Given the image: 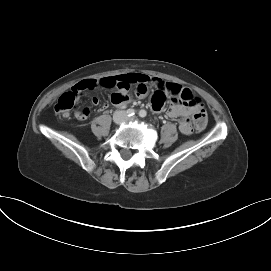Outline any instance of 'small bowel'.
Masks as SVG:
<instances>
[{"instance_id":"small-bowel-1","label":"small bowel","mask_w":271,"mask_h":271,"mask_svg":"<svg viewBox=\"0 0 271 271\" xmlns=\"http://www.w3.org/2000/svg\"><path fill=\"white\" fill-rule=\"evenodd\" d=\"M95 86L111 89V101L118 106H124L131 101V97L128 93L131 86H136L135 95L139 98L146 96L149 87H155L157 91L150 102V107L154 112L162 111L164 104L167 102V95L176 96L171 101L167 115L170 118H182L179 123L181 133L189 135L193 131V125L189 117L197 113L198 107L182 100L184 94L192 96V93L189 89L183 88L177 83H168L159 78L142 73H125L99 80H84L77 83L73 89H79L82 92L88 87L93 88ZM92 103L98 105L99 99L94 97ZM104 107H106V105H104ZM87 112V109H84L77 113V117L85 119Z\"/></svg>"}]
</instances>
